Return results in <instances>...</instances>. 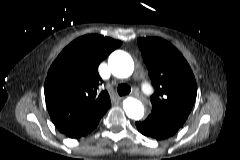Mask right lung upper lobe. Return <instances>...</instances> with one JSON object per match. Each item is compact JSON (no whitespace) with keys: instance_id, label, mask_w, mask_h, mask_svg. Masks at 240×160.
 <instances>
[{"instance_id":"1","label":"right lung upper lobe","mask_w":240,"mask_h":160,"mask_svg":"<svg viewBox=\"0 0 240 160\" xmlns=\"http://www.w3.org/2000/svg\"><path fill=\"white\" fill-rule=\"evenodd\" d=\"M121 41L85 35L72 41L51 65L45 80V100L50 117L61 133L101 117L109 109L110 97L100 90V62Z\"/></svg>"}]
</instances>
